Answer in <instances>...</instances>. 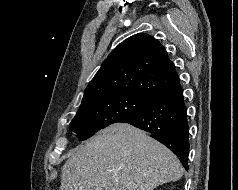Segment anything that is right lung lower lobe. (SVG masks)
Returning <instances> with one entry per match:
<instances>
[{
    "label": "right lung lower lobe",
    "instance_id": "98d812e1",
    "mask_svg": "<svg viewBox=\"0 0 238 190\" xmlns=\"http://www.w3.org/2000/svg\"><path fill=\"white\" fill-rule=\"evenodd\" d=\"M122 122L151 133L153 138L171 149L188 170L189 126L180 83Z\"/></svg>",
    "mask_w": 238,
    "mask_h": 190
}]
</instances>
